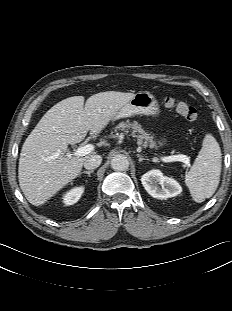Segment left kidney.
<instances>
[{
    "mask_svg": "<svg viewBox=\"0 0 232 311\" xmlns=\"http://www.w3.org/2000/svg\"><path fill=\"white\" fill-rule=\"evenodd\" d=\"M142 185L154 198L166 199L177 196L182 187L173 178L164 176L160 170H151L142 175Z\"/></svg>",
    "mask_w": 232,
    "mask_h": 311,
    "instance_id": "left-kidney-1",
    "label": "left kidney"
}]
</instances>
